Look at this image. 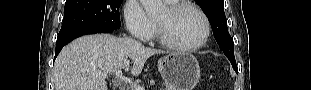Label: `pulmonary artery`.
I'll list each match as a JSON object with an SVG mask.
<instances>
[{
	"label": "pulmonary artery",
	"mask_w": 311,
	"mask_h": 90,
	"mask_svg": "<svg viewBox=\"0 0 311 90\" xmlns=\"http://www.w3.org/2000/svg\"><path fill=\"white\" fill-rule=\"evenodd\" d=\"M167 2H176V0H166Z\"/></svg>",
	"instance_id": "e3ab8cb5"
}]
</instances>
